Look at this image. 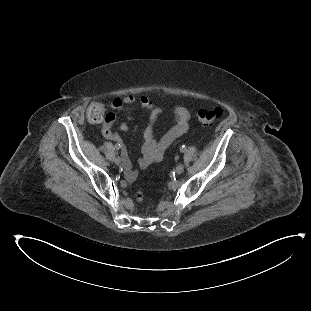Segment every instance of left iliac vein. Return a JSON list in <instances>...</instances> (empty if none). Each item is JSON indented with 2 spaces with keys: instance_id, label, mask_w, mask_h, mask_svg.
Here are the masks:
<instances>
[{
  "instance_id": "1",
  "label": "left iliac vein",
  "mask_w": 311,
  "mask_h": 311,
  "mask_svg": "<svg viewBox=\"0 0 311 311\" xmlns=\"http://www.w3.org/2000/svg\"><path fill=\"white\" fill-rule=\"evenodd\" d=\"M183 171H184V165L183 164H178L176 169H175V172L177 174H181Z\"/></svg>"
}]
</instances>
